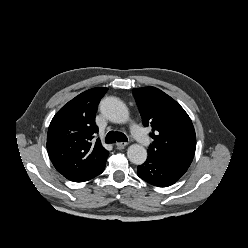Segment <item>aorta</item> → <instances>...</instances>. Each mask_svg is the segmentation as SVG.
Segmentation results:
<instances>
[{
  "label": "aorta",
  "mask_w": 248,
  "mask_h": 248,
  "mask_svg": "<svg viewBox=\"0 0 248 248\" xmlns=\"http://www.w3.org/2000/svg\"><path fill=\"white\" fill-rule=\"evenodd\" d=\"M101 113L111 122L122 124L128 121L129 111L123 101L117 97H106L100 103ZM130 162L141 165L147 159V150L139 145L132 144L127 150Z\"/></svg>",
  "instance_id": "obj_1"
}]
</instances>
